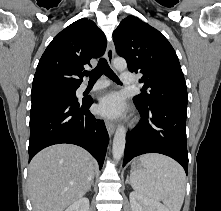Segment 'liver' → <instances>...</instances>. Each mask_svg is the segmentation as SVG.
<instances>
[{"label": "liver", "mask_w": 221, "mask_h": 211, "mask_svg": "<svg viewBox=\"0 0 221 211\" xmlns=\"http://www.w3.org/2000/svg\"><path fill=\"white\" fill-rule=\"evenodd\" d=\"M93 157L83 148L57 144L40 151L28 168L33 211H64L89 190Z\"/></svg>", "instance_id": "6515ba94"}]
</instances>
